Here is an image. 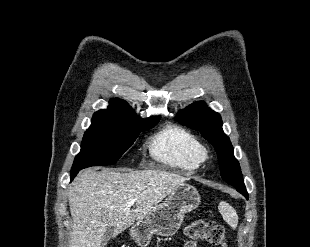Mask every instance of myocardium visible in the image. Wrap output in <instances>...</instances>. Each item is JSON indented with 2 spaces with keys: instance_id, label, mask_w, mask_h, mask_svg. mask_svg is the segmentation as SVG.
Returning <instances> with one entry per match:
<instances>
[{
  "instance_id": "f54148a6",
  "label": "myocardium",
  "mask_w": 310,
  "mask_h": 247,
  "mask_svg": "<svg viewBox=\"0 0 310 247\" xmlns=\"http://www.w3.org/2000/svg\"><path fill=\"white\" fill-rule=\"evenodd\" d=\"M201 158H202V161H205V160H207L209 158V154L206 152V150L203 152Z\"/></svg>"
}]
</instances>
